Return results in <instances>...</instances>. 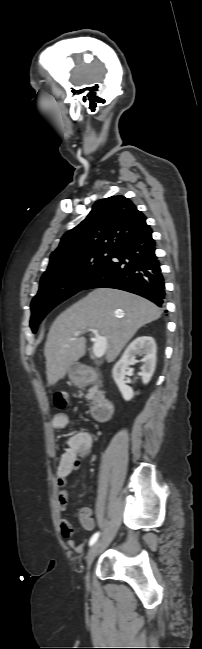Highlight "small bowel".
Here are the masks:
<instances>
[{"label":"small bowel","mask_w":202,"mask_h":649,"mask_svg":"<svg viewBox=\"0 0 202 649\" xmlns=\"http://www.w3.org/2000/svg\"><path fill=\"white\" fill-rule=\"evenodd\" d=\"M71 424L69 416L65 413H58L52 419L53 427L58 430L66 429ZM66 444L65 452L59 460L56 471V482L60 488L57 496L58 506L63 513L69 511L68 491L64 487L67 485L70 476L78 470L80 461L91 454L93 437L88 431H78L68 438ZM92 514L93 510L90 505L81 508L79 512V520L87 531H92L94 528ZM60 531L62 536L68 540V545L78 554H83L84 543L76 544L73 539L74 528L67 519H61Z\"/></svg>","instance_id":"1"}]
</instances>
